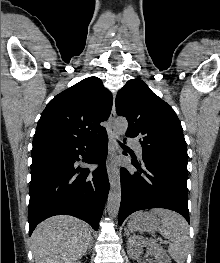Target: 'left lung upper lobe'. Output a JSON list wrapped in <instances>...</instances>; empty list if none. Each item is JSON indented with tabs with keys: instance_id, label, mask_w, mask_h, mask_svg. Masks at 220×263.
<instances>
[{
	"instance_id": "left-lung-upper-lobe-1",
	"label": "left lung upper lobe",
	"mask_w": 220,
	"mask_h": 263,
	"mask_svg": "<svg viewBox=\"0 0 220 263\" xmlns=\"http://www.w3.org/2000/svg\"><path fill=\"white\" fill-rule=\"evenodd\" d=\"M116 111L128 121L127 137L138 138L146 159L187 171V148L172 107L140 79L129 80L116 96Z\"/></svg>"
}]
</instances>
